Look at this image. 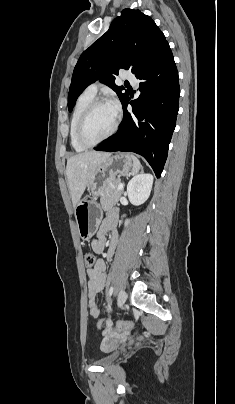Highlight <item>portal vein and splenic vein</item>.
<instances>
[{
    "label": "portal vein and splenic vein",
    "mask_w": 235,
    "mask_h": 404,
    "mask_svg": "<svg viewBox=\"0 0 235 404\" xmlns=\"http://www.w3.org/2000/svg\"><path fill=\"white\" fill-rule=\"evenodd\" d=\"M122 189H123V184H119L118 190H122Z\"/></svg>",
    "instance_id": "obj_1"
}]
</instances>
